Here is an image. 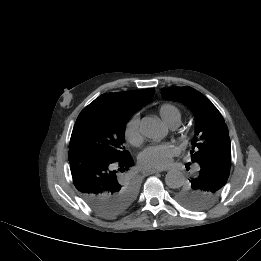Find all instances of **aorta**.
Masks as SVG:
<instances>
[{"label":"aorta","instance_id":"obj_1","mask_svg":"<svg viewBox=\"0 0 261 261\" xmlns=\"http://www.w3.org/2000/svg\"><path fill=\"white\" fill-rule=\"evenodd\" d=\"M141 134L152 140L159 139L164 134V128L159 119L154 117H144L140 123ZM166 185L169 188H180L184 183V176L178 170H171L165 176Z\"/></svg>","mask_w":261,"mask_h":261}]
</instances>
